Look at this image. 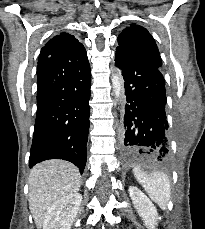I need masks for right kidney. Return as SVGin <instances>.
Wrapping results in <instances>:
<instances>
[{"mask_svg":"<svg viewBox=\"0 0 205 229\" xmlns=\"http://www.w3.org/2000/svg\"><path fill=\"white\" fill-rule=\"evenodd\" d=\"M82 202L79 193L70 194L54 203L47 212L43 229H71Z\"/></svg>","mask_w":205,"mask_h":229,"instance_id":"obj_1","label":"right kidney"}]
</instances>
